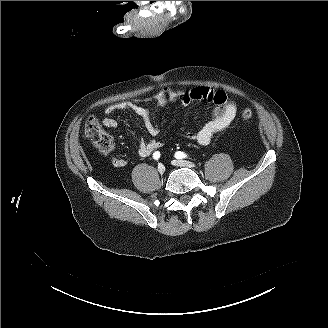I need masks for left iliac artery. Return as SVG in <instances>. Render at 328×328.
I'll return each mask as SVG.
<instances>
[{"label": "left iliac artery", "instance_id": "44dca946", "mask_svg": "<svg viewBox=\"0 0 328 328\" xmlns=\"http://www.w3.org/2000/svg\"><path fill=\"white\" fill-rule=\"evenodd\" d=\"M175 157H176L177 159H182V158L187 157V155L184 154V153L181 152V151H178V152L175 153Z\"/></svg>", "mask_w": 328, "mask_h": 328}]
</instances>
